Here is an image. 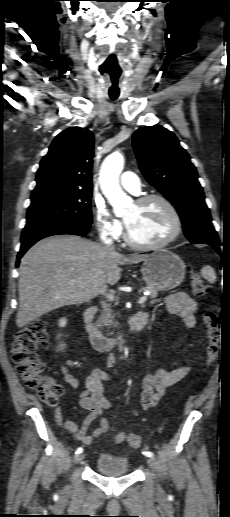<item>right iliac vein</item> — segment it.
I'll use <instances>...</instances> for the list:
<instances>
[{
	"instance_id": "63e3f726",
	"label": "right iliac vein",
	"mask_w": 230,
	"mask_h": 517,
	"mask_svg": "<svg viewBox=\"0 0 230 517\" xmlns=\"http://www.w3.org/2000/svg\"><path fill=\"white\" fill-rule=\"evenodd\" d=\"M84 459V454H78L74 457V464L80 463Z\"/></svg>"
}]
</instances>
